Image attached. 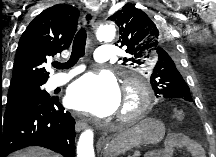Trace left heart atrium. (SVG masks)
Returning <instances> with one entry per match:
<instances>
[{
  "label": "left heart atrium",
  "mask_w": 216,
  "mask_h": 157,
  "mask_svg": "<svg viewBox=\"0 0 216 157\" xmlns=\"http://www.w3.org/2000/svg\"><path fill=\"white\" fill-rule=\"evenodd\" d=\"M65 100L72 109L105 117L120 107L122 96L110 73H89L70 85Z\"/></svg>",
  "instance_id": "1"
}]
</instances>
